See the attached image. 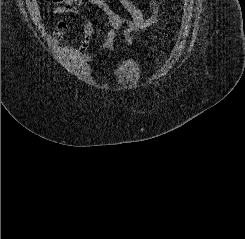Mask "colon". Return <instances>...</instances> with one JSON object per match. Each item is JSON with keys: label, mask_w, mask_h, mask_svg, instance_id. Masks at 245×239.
Segmentation results:
<instances>
[{"label": "colon", "mask_w": 245, "mask_h": 239, "mask_svg": "<svg viewBox=\"0 0 245 239\" xmlns=\"http://www.w3.org/2000/svg\"><path fill=\"white\" fill-rule=\"evenodd\" d=\"M54 3L61 2V0H52Z\"/></svg>", "instance_id": "obj_1"}]
</instances>
